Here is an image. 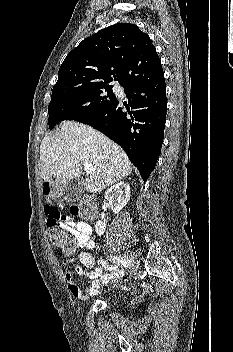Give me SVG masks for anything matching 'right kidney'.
<instances>
[{
    "label": "right kidney",
    "mask_w": 233,
    "mask_h": 352,
    "mask_svg": "<svg viewBox=\"0 0 233 352\" xmlns=\"http://www.w3.org/2000/svg\"><path fill=\"white\" fill-rule=\"evenodd\" d=\"M105 198L109 202V205L114 214H118L123 209V207L126 206L130 199V185L126 182H119L111 186L106 191ZM105 229L106 223L104 221L99 220L96 222L95 231L97 235H103Z\"/></svg>",
    "instance_id": "right-kidney-1"
}]
</instances>
